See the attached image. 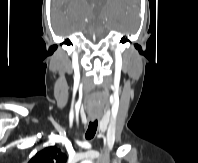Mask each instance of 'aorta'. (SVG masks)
I'll use <instances>...</instances> for the list:
<instances>
[{
    "label": "aorta",
    "mask_w": 198,
    "mask_h": 163,
    "mask_svg": "<svg viewBox=\"0 0 198 163\" xmlns=\"http://www.w3.org/2000/svg\"><path fill=\"white\" fill-rule=\"evenodd\" d=\"M81 163H92V161H90V160H84Z\"/></svg>",
    "instance_id": "obj_1"
}]
</instances>
